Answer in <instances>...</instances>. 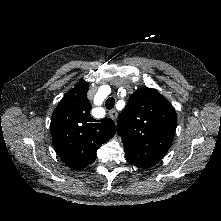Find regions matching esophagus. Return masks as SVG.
Returning a JSON list of instances; mask_svg holds the SVG:
<instances>
[{"instance_id": "obj_1", "label": "esophagus", "mask_w": 221, "mask_h": 221, "mask_svg": "<svg viewBox=\"0 0 221 221\" xmlns=\"http://www.w3.org/2000/svg\"><path fill=\"white\" fill-rule=\"evenodd\" d=\"M109 116L111 119H113L114 121H116L117 117H118V113L116 110H110L109 111Z\"/></svg>"}]
</instances>
